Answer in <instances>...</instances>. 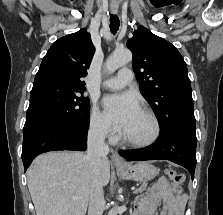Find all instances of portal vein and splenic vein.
Masks as SVG:
<instances>
[{
  "label": "portal vein and splenic vein",
  "mask_w": 223,
  "mask_h": 215,
  "mask_svg": "<svg viewBox=\"0 0 223 215\" xmlns=\"http://www.w3.org/2000/svg\"><path fill=\"white\" fill-rule=\"evenodd\" d=\"M136 189V186H131V189H129V190H131L132 192L134 191ZM72 199H77V195H72Z\"/></svg>",
  "instance_id": "obj_1"
}]
</instances>
